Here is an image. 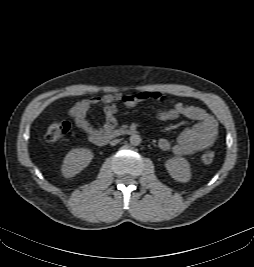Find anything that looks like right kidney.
Returning <instances> with one entry per match:
<instances>
[{
	"instance_id": "obj_1",
	"label": "right kidney",
	"mask_w": 254,
	"mask_h": 267,
	"mask_svg": "<svg viewBox=\"0 0 254 267\" xmlns=\"http://www.w3.org/2000/svg\"><path fill=\"white\" fill-rule=\"evenodd\" d=\"M93 154L89 149L86 148H75L68 152L64 158L62 165V174L66 178L74 177L86 168L91 160Z\"/></svg>"
}]
</instances>
